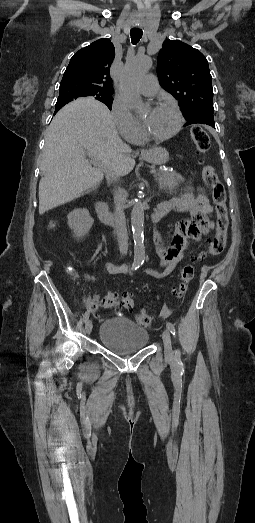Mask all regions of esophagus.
I'll list each match as a JSON object with an SVG mask.
<instances>
[{"mask_svg": "<svg viewBox=\"0 0 255 523\" xmlns=\"http://www.w3.org/2000/svg\"><path fill=\"white\" fill-rule=\"evenodd\" d=\"M141 153H145V150H142V152H141Z\"/></svg>", "mask_w": 255, "mask_h": 523, "instance_id": "1", "label": "esophagus"}]
</instances>
